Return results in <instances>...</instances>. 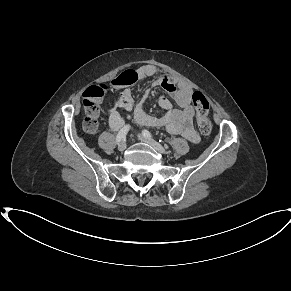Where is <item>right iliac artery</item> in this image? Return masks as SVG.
Returning a JSON list of instances; mask_svg holds the SVG:
<instances>
[{"mask_svg":"<svg viewBox=\"0 0 291 291\" xmlns=\"http://www.w3.org/2000/svg\"><path fill=\"white\" fill-rule=\"evenodd\" d=\"M129 125L124 126L117 134L116 141L119 143L121 140L126 138L127 132L129 130Z\"/></svg>","mask_w":291,"mask_h":291,"instance_id":"obj_1","label":"right iliac artery"}]
</instances>
